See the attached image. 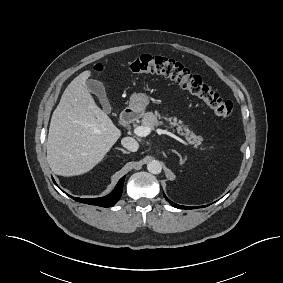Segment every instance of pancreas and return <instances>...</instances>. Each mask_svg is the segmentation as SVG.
<instances>
[{
    "label": "pancreas",
    "mask_w": 283,
    "mask_h": 283,
    "mask_svg": "<svg viewBox=\"0 0 283 283\" xmlns=\"http://www.w3.org/2000/svg\"><path fill=\"white\" fill-rule=\"evenodd\" d=\"M162 118L168 122L169 128L173 130L176 128L177 133L184 136L189 143L194 144L196 147L202 144L203 137L195 135L193 131L187 125H184L182 120H178L177 117H162L158 111H155L154 113L147 112L142 115L141 122L144 127L154 129L163 124V121L159 120Z\"/></svg>",
    "instance_id": "cf45deb5"
}]
</instances>
